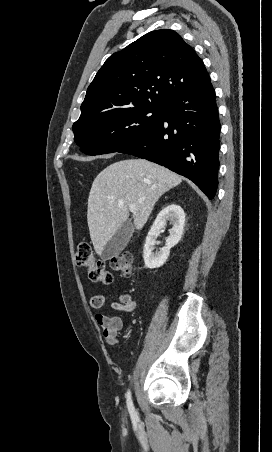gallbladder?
I'll return each instance as SVG.
<instances>
[{
	"label": "gallbladder",
	"mask_w": 272,
	"mask_h": 452,
	"mask_svg": "<svg viewBox=\"0 0 272 452\" xmlns=\"http://www.w3.org/2000/svg\"><path fill=\"white\" fill-rule=\"evenodd\" d=\"M132 234V223L130 220L125 221L113 237L104 246L102 259L108 260L117 256L126 247Z\"/></svg>",
	"instance_id": "bac80fb5"
}]
</instances>
